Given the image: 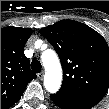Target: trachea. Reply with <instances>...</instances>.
<instances>
[{
	"instance_id": "1",
	"label": "trachea",
	"mask_w": 109,
	"mask_h": 109,
	"mask_svg": "<svg viewBox=\"0 0 109 109\" xmlns=\"http://www.w3.org/2000/svg\"><path fill=\"white\" fill-rule=\"evenodd\" d=\"M41 63L38 60H34L31 62V69L35 72V73H39L41 71Z\"/></svg>"
}]
</instances>
